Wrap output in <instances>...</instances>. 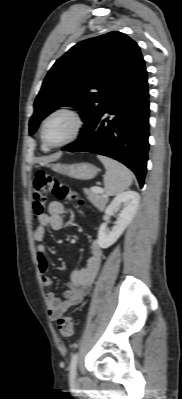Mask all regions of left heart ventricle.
I'll return each mask as SVG.
<instances>
[{"instance_id": "b2bd125f", "label": "left heart ventricle", "mask_w": 182, "mask_h": 399, "mask_svg": "<svg viewBox=\"0 0 182 399\" xmlns=\"http://www.w3.org/2000/svg\"><path fill=\"white\" fill-rule=\"evenodd\" d=\"M74 121L67 115L52 118L46 126V139L51 144H58L66 140L72 133Z\"/></svg>"}]
</instances>
